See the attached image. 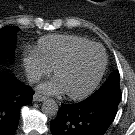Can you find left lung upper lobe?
<instances>
[{
  "label": "left lung upper lobe",
  "instance_id": "left-lung-upper-lobe-1",
  "mask_svg": "<svg viewBox=\"0 0 135 135\" xmlns=\"http://www.w3.org/2000/svg\"><path fill=\"white\" fill-rule=\"evenodd\" d=\"M111 89H120L118 71H114L109 77V79L106 81V83H104V85L98 91L111 90Z\"/></svg>",
  "mask_w": 135,
  "mask_h": 135
}]
</instances>
